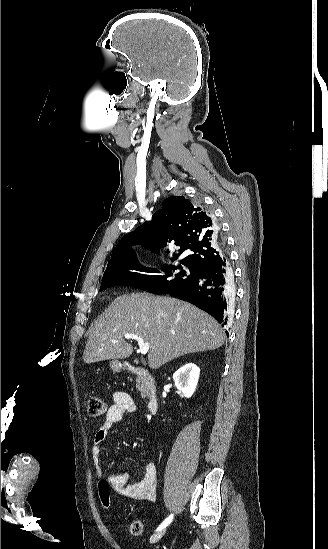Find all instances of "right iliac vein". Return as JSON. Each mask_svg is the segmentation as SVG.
I'll list each match as a JSON object with an SVG mask.
<instances>
[{
  "instance_id": "63e3f726",
  "label": "right iliac vein",
  "mask_w": 328,
  "mask_h": 549,
  "mask_svg": "<svg viewBox=\"0 0 328 549\" xmlns=\"http://www.w3.org/2000/svg\"><path fill=\"white\" fill-rule=\"evenodd\" d=\"M166 532V529H162V530H159L157 531L156 533H154L151 537H150V543L151 544H154L156 542H158L162 537L163 535L165 534Z\"/></svg>"
}]
</instances>
